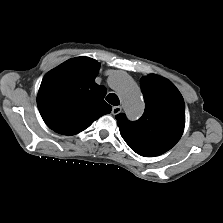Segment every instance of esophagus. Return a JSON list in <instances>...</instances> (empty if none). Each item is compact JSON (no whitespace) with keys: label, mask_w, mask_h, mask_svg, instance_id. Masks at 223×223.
Listing matches in <instances>:
<instances>
[{"label":"esophagus","mask_w":223,"mask_h":223,"mask_svg":"<svg viewBox=\"0 0 223 223\" xmlns=\"http://www.w3.org/2000/svg\"><path fill=\"white\" fill-rule=\"evenodd\" d=\"M121 110H122V108L120 106H114L112 108V114L113 115H117V114H119L121 112Z\"/></svg>","instance_id":"esophagus-1"}]
</instances>
